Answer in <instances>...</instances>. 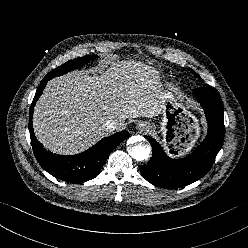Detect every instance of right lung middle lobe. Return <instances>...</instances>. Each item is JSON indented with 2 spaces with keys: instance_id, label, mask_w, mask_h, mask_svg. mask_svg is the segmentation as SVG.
I'll return each mask as SVG.
<instances>
[{
  "instance_id": "1",
  "label": "right lung middle lobe",
  "mask_w": 248,
  "mask_h": 248,
  "mask_svg": "<svg viewBox=\"0 0 248 248\" xmlns=\"http://www.w3.org/2000/svg\"><path fill=\"white\" fill-rule=\"evenodd\" d=\"M94 57H95L94 55L93 56H85V57L78 58V59H75L72 61H68V62L64 63L63 65L59 66L58 68L52 70L47 75L51 76L52 78L55 76L63 75L69 71H72L74 69L82 67L85 63L94 59Z\"/></svg>"
}]
</instances>
